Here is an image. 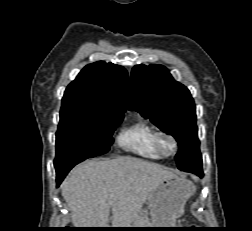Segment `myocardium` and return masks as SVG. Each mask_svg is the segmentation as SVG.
Returning <instances> with one entry per match:
<instances>
[{"label":"myocardium","instance_id":"1","mask_svg":"<svg viewBox=\"0 0 252 231\" xmlns=\"http://www.w3.org/2000/svg\"><path fill=\"white\" fill-rule=\"evenodd\" d=\"M164 139H169L173 144V148L170 152L165 151L163 148L162 143ZM155 147L158 150V152L162 155V157H170L176 154V152L178 151L179 142L177 138L171 133L166 132V131H158L155 136Z\"/></svg>","mask_w":252,"mask_h":231}]
</instances>
